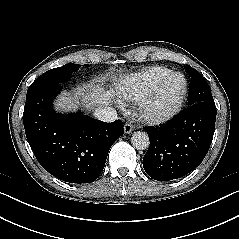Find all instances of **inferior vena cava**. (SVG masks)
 I'll return each instance as SVG.
<instances>
[{
	"label": "inferior vena cava",
	"instance_id": "inferior-vena-cava-1",
	"mask_svg": "<svg viewBox=\"0 0 239 239\" xmlns=\"http://www.w3.org/2000/svg\"><path fill=\"white\" fill-rule=\"evenodd\" d=\"M94 117L103 122H113L117 119V112L109 106L98 107L94 111Z\"/></svg>",
	"mask_w": 239,
	"mask_h": 239
}]
</instances>
